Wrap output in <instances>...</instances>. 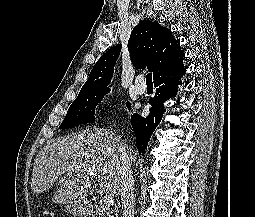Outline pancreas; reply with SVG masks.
I'll return each instance as SVG.
<instances>
[{"mask_svg": "<svg viewBox=\"0 0 255 217\" xmlns=\"http://www.w3.org/2000/svg\"><path fill=\"white\" fill-rule=\"evenodd\" d=\"M113 211H110L109 208L101 204L100 206H95L92 211V217H117V214H113Z\"/></svg>", "mask_w": 255, "mask_h": 217, "instance_id": "obj_1", "label": "pancreas"}]
</instances>
